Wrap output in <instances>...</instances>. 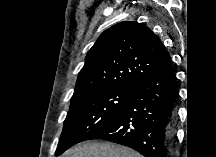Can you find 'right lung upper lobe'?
Here are the masks:
<instances>
[{
  "mask_svg": "<svg viewBox=\"0 0 216 157\" xmlns=\"http://www.w3.org/2000/svg\"><path fill=\"white\" fill-rule=\"evenodd\" d=\"M169 60L159 37L145 25L115 24L100 35L87 53L71 101L93 91L133 87Z\"/></svg>",
  "mask_w": 216,
  "mask_h": 157,
  "instance_id": "right-lung-upper-lobe-1",
  "label": "right lung upper lobe"
}]
</instances>
